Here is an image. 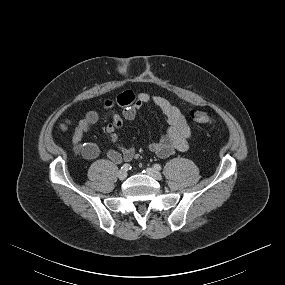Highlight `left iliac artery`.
I'll list each match as a JSON object with an SVG mask.
<instances>
[{"instance_id":"obj_1","label":"left iliac artery","mask_w":285,"mask_h":285,"mask_svg":"<svg viewBox=\"0 0 285 285\" xmlns=\"http://www.w3.org/2000/svg\"><path fill=\"white\" fill-rule=\"evenodd\" d=\"M154 168L156 169V170H161V165L160 164H154Z\"/></svg>"}]
</instances>
